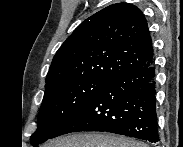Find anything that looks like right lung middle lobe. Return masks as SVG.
I'll return each mask as SVG.
<instances>
[{
  "instance_id": "dd1d6c3e",
  "label": "right lung middle lobe",
  "mask_w": 183,
  "mask_h": 147,
  "mask_svg": "<svg viewBox=\"0 0 183 147\" xmlns=\"http://www.w3.org/2000/svg\"><path fill=\"white\" fill-rule=\"evenodd\" d=\"M109 81L81 79L47 87L38 117V129L31 136V144L54 137L59 127Z\"/></svg>"
}]
</instances>
